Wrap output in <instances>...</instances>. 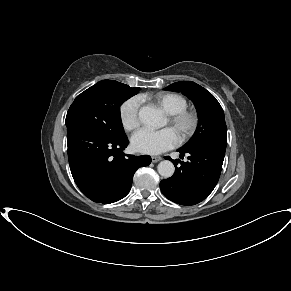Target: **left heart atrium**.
Here are the masks:
<instances>
[{
	"mask_svg": "<svg viewBox=\"0 0 291 291\" xmlns=\"http://www.w3.org/2000/svg\"><path fill=\"white\" fill-rule=\"evenodd\" d=\"M179 138L172 128L161 130L141 129L131 138V145L137 152L156 155L177 146Z\"/></svg>",
	"mask_w": 291,
	"mask_h": 291,
	"instance_id": "1",
	"label": "left heart atrium"
}]
</instances>
